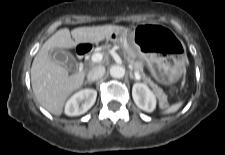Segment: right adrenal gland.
Listing matches in <instances>:
<instances>
[{
  "mask_svg": "<svg viewBox=\"0 0 225 155\" xmlns=\"http://www.w3.org/2000/svg\"><path fill=\"white\" fill-rule=\"evenodd\" d=\"M91 83H92L91 81H86V82H85V84H91Z\"/></svg>",
  "mask_w": 225,
  "mask_h": 155,
  "instance_id": "1",
  "label": "right adrenal gland"
}]
</instances>
